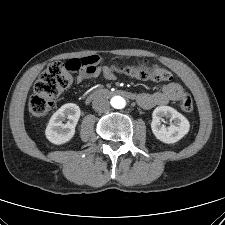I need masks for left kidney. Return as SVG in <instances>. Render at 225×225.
Instances as JSON below:
<instances>
[{"mask_svg":"<svg viewBox=\"0 0 225 225\" xmlns=\"http://www.w3.org/2000/svg\"><path fill=\"white\" fill-rule=\"evenodd\" d=\"M163 117L170 118V126L166 127L161 124ZM152 118V132L157 139L164 143H175L189 132L190 123L187 118L170 106L155 108Z\"/></svg>","mask_w":225,"mask_h":225,"instance_id":"left-kidney-1","label":"left kidney"}]
</instances>
